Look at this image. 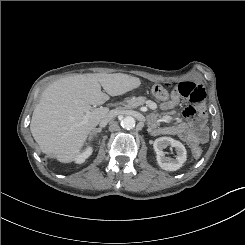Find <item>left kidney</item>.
<instances>
[{
	"instance_id": "left-kidney-1",
	"label": "left kidney",
	"mask_w": 245,
	"mask_h": 245,
	"mask_svg": "<svg viewBox=\"0 0 245 245\" xmlns=\"http://www.w3.org/2000/svg\"><path fill=\"white\" fill-rule=\"evenodd\" d=\"M175 147L177 151L176 158L166 157L163 149L167 146ZM154 150L158 165L166 171H176L180 169L187 160V151L184 145L171 137H160L154 141Z\"/></svg>"
}]
</instances>
